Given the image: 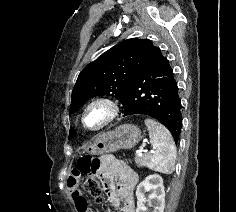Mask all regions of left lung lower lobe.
Here are the masks:
<instances>
[{
  "label": "left lung lower lobe",
  "instance_id": "obj_1",
  "mask_svg": "<svg viewBox=\"0 0 236 212\" xmlns=\"http://www.w3.org/2000/svg\"><path fill=\"white\" fill-rule=\"evenodd\" d=\"M121 103L124 115L143 114L158 120L177 143L182 127L177 82L167 58L151 41Z\"/></svg>",
  "mask_w": 236,
  "mask_h": 212
}]
</instances>
